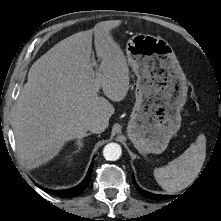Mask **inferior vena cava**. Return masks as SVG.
I'll use <instances>...</instances> for the list:
<instances>
[{"label":"inferior vena cava","mask_w":221,"mask_h":221,"mask_svg":"<svg viewBox=\"0 0 221 221\" xmlns=\"http://www.w3.org/2000/svg\"><path fill=\"white\" fill-rule=\"evenodd\" d=\"M105 128H106V125L101 120H94L88 126V130L95 134L102 133L105 130Z\"/></svg>","instance_id":"obj_1"}]
</instances>
